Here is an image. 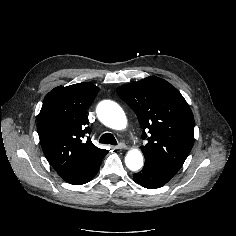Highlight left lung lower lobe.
I'll use <instances>...</instances> for the list:
<instances>
[{
	"mask_svg": "<svg viewBox=\"0 0 236 236\" xmlns=\"http://www.w3.org/2000/svg\"><path fill=\"white\" fill-rule=\"evenodd\" d=\"M175 174L153 159L145 158V166L139 173L134 174V181L145 188L156 189L164 186Z\"/></svg>",
	"mask_w": 236,
	"mask_h": 236,
	"instance_id": "1",
	"label": "left lung lower lobe"
}]
</instances>
